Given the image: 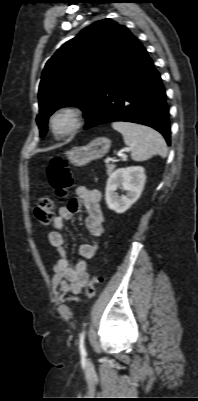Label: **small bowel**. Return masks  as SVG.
<instances>
[{
  "label": "small bowel",
  "instance_id": "1",
  "mask_svg": "<svg viewBox=\"0 0 198 401\" xmlns=\"http://www.w3.org/2000/svg\"><path fill=\"white\" fill-rule=\"evenodd\" d=\"M76 194V198L60 207L58 215L52 221L53 230L48 235L49 243L57 253L51 283L58 298L68 294L78 295L82 291L89 279L87 260L92 259L97 251L95 243H84L79 247L81 259L76 263L71 262L63 234L65 223L70 221L76 212L84 210L87 214L85 219L87 231L94 238L100 237L104 231L100 191L78 186Z\"/></svg>",
  "mask_w": 198,
  "mask_h": 401
}]
</instances>
